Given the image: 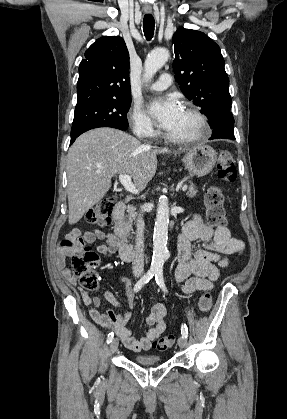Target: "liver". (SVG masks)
Segmentation results:
<instances>
[{
  "mask_svg": "<svg viewBox=\"0 0 287 419\" xmlns=\"http://www.w3.org/2000/svg\"><path fill=\"white\" fill-rule=\"evenodd\" d=\"M179 151H174L177 154ZM169 149H151L135 137L113 128H97L79 136L67 155V195L70 225L99 203L116 174L132 177L137 190H143L157 169V154Z\"/></svg>",
  "mask_w": 287,
  "mask_h": 419,
  "instance_id": "1",
  "label": "liver"
}]
</instances>
